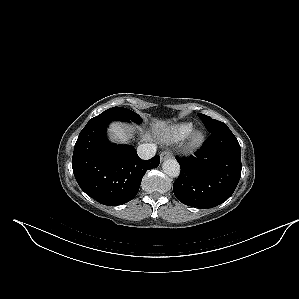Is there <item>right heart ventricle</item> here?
<instances>
[{"label":"right heart ventricle","instance_id":"e07e8e85","mask_svg":"<svg viewBox=\"0 0 299 299\" xmlns=\"http://www.w3.org/2000/svg\"><path fill=\"white\" fill-rule=\"evenodd\" d=\"M194 129L191 122H182L174 124L164 132V139L170 142H178L188 137Z\"/></svg>","mask_w":299,"mask_h":299}]
</instances>
